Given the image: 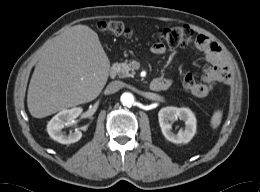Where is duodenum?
<instances>
[{
  "label": "duodenum",
  "mask_w": 260,
  "mask_h": 192,
  "mask_svg": "<svg viewBox=\"0 0 260 192\" xmlns=\"http://www.w3.org/2000/svg\"><path fill=\"white\" fill-rule=\"evenodd\" d=\"M115 74H116V71L115 69H111L110 70V77L111 78H114L115 77ZM166 88V84L165 82L160 79V78H157V79H154L151 83H150V89L152 91H162Z\"/></svg>",
  "instance_id": "obj_1"
}]
</instances>
